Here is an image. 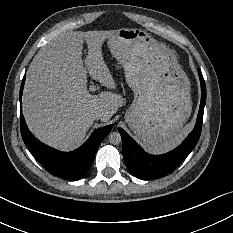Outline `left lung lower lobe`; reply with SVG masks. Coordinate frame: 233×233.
Instances as JSON below:
<instances>
[{"label":"left lung lower lobe","mask_w":233,"mask_h":233,"mask_svg":"<svg viewBox=\"0 0 233 233\" xmlns=\"http://www.w3.org/2000/svg\"><path fill=\"white\" fill-rule=\"evenodd\" d=\"M201 83V103L197 122L193 131L174 150L163 155H150L121 128H119L123 144V157L131 173L140 179H155L167 175L176 169L196 146L202 128L204 106L206 102V86L201 70L198 69Z\"/></svg>","instance_id":"left-lung-lower-lobe-1"}]
</instances>
